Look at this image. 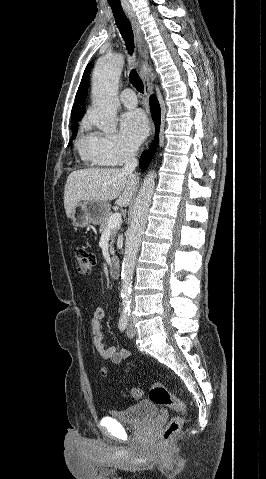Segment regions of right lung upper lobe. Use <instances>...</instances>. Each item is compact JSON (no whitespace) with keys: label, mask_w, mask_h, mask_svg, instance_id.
I'll return each mask as SVG.
<instances>
[{"label":"right lung upper lobe","mask_w":266,"mask_h":479,"mask_svg":"<svg viewBox=\"0 0 266 479\" xmlns=\"http://www.w3.org/2000/svg\"><path fill=\"white\" fill-rule=\"evenodd\" d=\"M89 76L90 68L87 66L75 96V103L73 104L71 112L72 121L80 120L85 113V109L81 106L84 105L87 96Z\"/></svg>","instance_id":"cb5924a9"}]
</instances>
